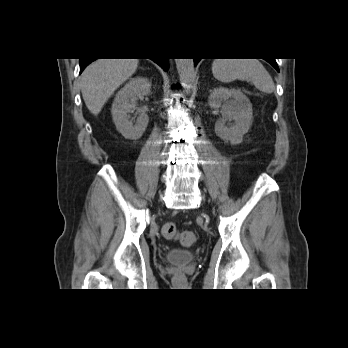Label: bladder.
Here are the masks:
<instances>
[{
  "mask_svg": "<svg viewBox=\"0 0 348 348\" xmlns=\"http://www.w3.org/2000/svg\"><path fill=\"white\" fill-rule=\"evenodd\" d=\"M196 253L194 251H188L180 248L170 249L166 255L165 260L169 263H189L195 260Z\"/></svg>",
  "mask_w": 348,
  "mask_h": 348,
  "instance_id": "obj_1",
  "label": "bladder"
}]
</instances>
